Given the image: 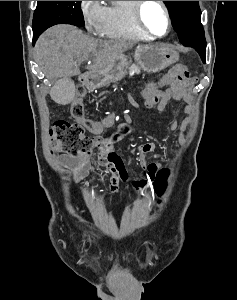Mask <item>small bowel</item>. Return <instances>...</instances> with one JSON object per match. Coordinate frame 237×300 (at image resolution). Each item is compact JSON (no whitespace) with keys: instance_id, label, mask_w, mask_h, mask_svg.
Segmentation results:
<instances>
[{"instance_id":"obj_1","label":"small bowel","mask_w":237,"mask_h":300,"mask_svg":"<svg viewBox=\"0 0 237 300\" xmlns=\"http://www.w3.org/2000/svg\"><path fill=\"white\" fill-rule=\"evenodd\" d=\"M175 74L173 72L165 75L160 81L150 83L141 93L140 97L145 99L153 93H156L163 85L172 84L175 81ZM188 86L181 87H170L168 88L160 101L157 104V110L159 112H164L171 99H176L179 101H183L188 103L190 101V96L187 91ZM113 121V116L110 115L103 120L100 121H91L86 118L77 119V122L84 126L90 133L98 135L100 134L106 127H108ZM189 123L188 119H185L182 127H186ZM177 127L176 121L173 119L168 123V128L174 130ZM154 150L153 143H145L138 147L139 154V162L141 166L148 171V177L146 179L140 181H134L130 185V188L138 191L150 184V176L155 174L160 170V165L156 163H146L145 156L147 153H150ZM98 162L101 166L107 168L112 174L113 177L110 182V188L113 193H117L119 191L120 182H125L127 180V172L123 163L121 156L111 148L98 149ZM59 162L66 168L71 170L72 179L75 182H78L84 179L89 170L90 164L87 161H80L73 156L69 155H61L59 157ZM114 197L111 196L108 198V201L113 200Z\"/></svg>"}]
</instances>
